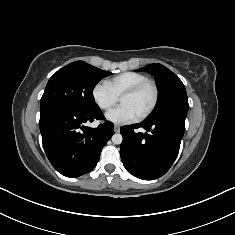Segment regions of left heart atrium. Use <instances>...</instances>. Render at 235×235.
Listing matches in <instances>:
<instances>
[{
	"instance_id": "1",
	"label": "left heart atrium",
	"mask_w": 235,
	"mask_h": 235,
	"mask_svg": "<svg viewBox=\"0 0 235 235\" xmlns=\"http://www.w3.org/2000/svg\"><path fill=\"white\" fill-rule=\"evenodd\" d=\"M107 120L116 124H127L139 119V114L129 105L121 104L106 114Z\"/></svg>"
}]
</instances>
